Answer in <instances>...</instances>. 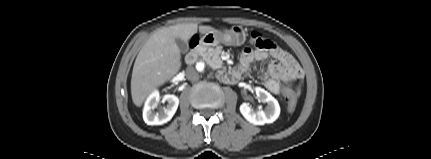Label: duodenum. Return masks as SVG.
I'll return each instance as SVG.
<instances>
[{"label":"duodenum","mask_w":431,"mask_h":159,"mask_svg":"<svg viewBox=\"0 0 431 159\" xmlns=\"http://www.w3.org/2000/svg\"><path fill=\"white\" fill-rule=\"evenodd\" d=\"M205 44H206L205 40L195 39L191 41V49L185 58V61L188 65H191L196 61L200 50L205 46ZM238 76H239V72L233 69L226 70L222 74V77L224 78V80H227V81L236 80Z\"/></svg>","instance_id":"1"}]
</instances>
